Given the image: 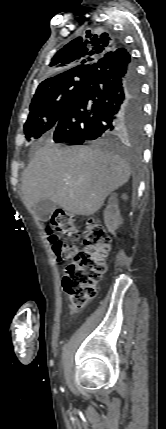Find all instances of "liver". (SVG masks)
<instances>
[{
  "label": "liver",
  "instance_id": "obj_1",
  "mask_svg": "<svg viewBox=\"0 0 166 429\" xmlns=\"http://www.w3.org/2000/svg\"><path fill=\"white\" fill-rule=\"evenodd\" d=\"M130 174L129 164L105 149L49 144L24 170L21 190L28 209L49 199L71 214L90 216Z\"/></svg>",
  "mask_w": 166,
  "mask_h": 429
}]
</instances>
